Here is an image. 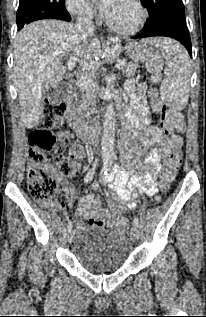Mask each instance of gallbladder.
Listing matches in <instances>:
<instances>
[{
  "label": "gallbladder",
  "instance_id": "bac80fb5",
  "mask_svg": "<svg viewBox=\"0 0 206 317\" xmlns=\"http://www.w3.org/2000/svg\"><path fill=\"white\" fill-rule=\"evenodd\" d=\"M69 89V83L61 82L53 87L48 93L47 98L52 105H58L64 100L66 91Z\"/></svg>",
  "mask_w": 206,
  "mask_h": 317
}]
</instances>
